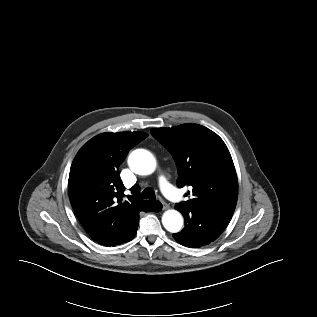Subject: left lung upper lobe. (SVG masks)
<instances>
[{
  "mask_svg": "<svg viewBox=\"0 0 317 317\" xmlns=\"http://www.w3.org/2000/svg\"><path fill=\"white\" fill-rule=\"evenodd\" d=\"M151 133L172 154L178 168L179 188H192L191 199L176 204V209L207 207L234 212L238 197L237 175L231 155L217 134L195 123L152 129Z\"/></svg>",
  "mask_w": 317,
  "mask_h": 317,
  "instance_id": "obj_1",
  "label": "left lung upper lobe"
}]
</instances>
